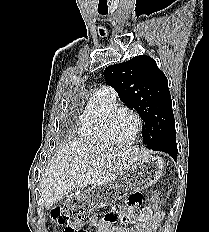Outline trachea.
Returning <instances> with one entry per match:
<instances>
[{
  "label": "trachea",
  "mask_w": 209,
  "mask_h": 232,
  "mask_svg": "<svg viewBox=\"0 0 209 232\" xmlns=\"http://www.w3.org/2000/svg\"><path fill=\"white\" fill-rule=\"evenodd\" d=\"M108 12H99L101 15H106Z\"/></svg>",
  "instance_id": "trachea-1"
}]
</instances>
